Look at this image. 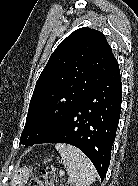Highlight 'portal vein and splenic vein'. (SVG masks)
Returning a JSON list of instances; mask_svg holds the SVG:
<instances>
[{"label": "portal vein and splenic vein", "instance_id": "1", "mask_svg": "<svg viewBox=\"0 0 138 186\" xmlns=\"http://www.w3.org/2000/svg\"><path fill=\"white\" fill-rule=\"evenodd\" d=\"M59 173H60V175H64L65 172L63 170H60Z\"/></svg>", "mask_w": 138, "mask_h": 186}]
</instances>
